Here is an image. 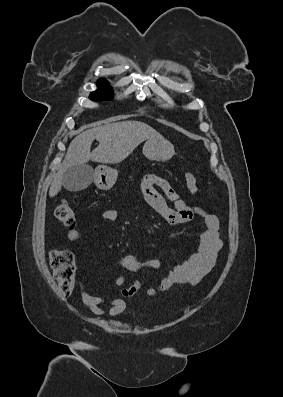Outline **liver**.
<instances>
[{
  "label": "liver",
  "instance_id": "obj_1",
  "mask_svg": "<svg viewBox=\"0 0 283 397\" xmlns=\"http://www.w3.org/2000/svg\"><path fill=\"white\" fill-rule=\"evenodd\" d=\"M162 135L151 126L139 121H122L88 129L76 136L70 143L66 156L49 190L54 197L62 186L64 172L71 166L86 164L88 161L117 164L126 159L143 141L162 139ZM99 145L91 152L94 140Z\"/></svg>",
  "mask_w": 283,
  "mask_h": 397
}]
</instances>
